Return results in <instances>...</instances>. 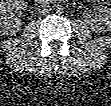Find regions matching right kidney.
Returning a JSON list of instances; mask_svg holds the SVG:
<instances>
[{"label":"right kidney","instance_id":"obj_1","mask_svg":"<svg viewBox=\"0 0 111 106\" xmlns=\"http://www.w3.org/2000/svg\"><path fill=\"white\" fill-rule=\"evenodd\" d=\"M27 8L23 0H2L0 2V25L3 35L16 33L22 26L21 19L14 17V9L23 10Z\"/></svg>","mask_w":111,"mask_h":106}]
</instances>
